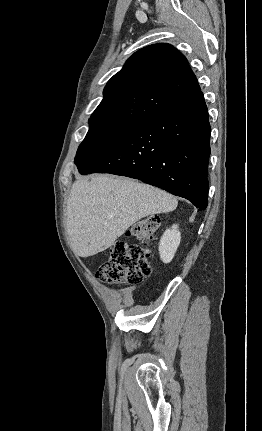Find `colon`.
<instances>
[{
	"mask_svg": "<svg viewBox=\"0 0 262 431\" xmlns=\"http://www.w3.org/2000/svg\"><path fill=\"white\" fill-rule=\"evenodd\" d=\"M160 227L157 215L140 221L128 233L135 242L118 241L111 249L108 259L96 272L98 280L109 284H137L151 274V253L145 245L156 239Z\"/></svg>",
	"mask_w": 262,
	"mask_h": 431,
	"instance_id": "obj_1",
	"label": "colon"
}]
</instances>
